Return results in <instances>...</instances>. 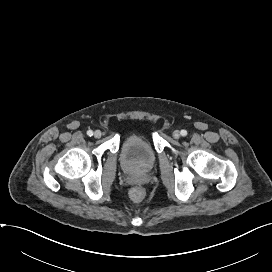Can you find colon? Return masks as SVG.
<instances>
[{"instance_id": "colon-1", "label": "colon", "mask_w": 272, "mask_h": 272, "mask_svg": "<svg viewBox=\"0 0 272 272\" xmlns=\"http://www.w3.org/2000/svg\"><path fill=\"white\" fill-rule=\"evenodd\" d=\"M130 195L134 201L139 202L144 197V190L140 187H135L131 190Z\"/></svg>"}]
</instances>
